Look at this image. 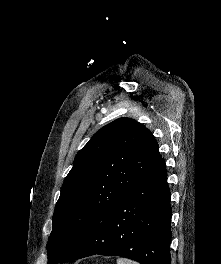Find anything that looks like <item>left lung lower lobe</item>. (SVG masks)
<instances>
[{"instance_id":"obj_1","label":"left lung lower lobe","mask_w":221,"mask_h":264,"mask_svg":"<svg viewBox=\"0 0 221 264\" xmlns=\"http://www.w3.org/2000/svg\"><path fill=\"white\" fill-rule=\"evenodd\" d=\"M171 214L166 165L161 159L85 240L58 262L100 254L141 264H171Z\"/></svg>"}]
</instances>
